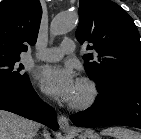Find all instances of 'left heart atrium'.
Instances as JSON below:
<instances>
[{"label": "left heart atrium", "mask_w": 141, "mask_h": 139, "mask_svg": "<svg viewBox=\"0 0 141 139\" xmlns=\"http://www.w3.org/2000/svg\"><path fill=\"white\" fill-rule=\"evenodd\" d=\"M35 79L44 93L64 102L72 101L77 81L68 67L45 65L37 69Z\"/></svg>", "instance_id": "left-heart-atrium-1"}]
</instances>
